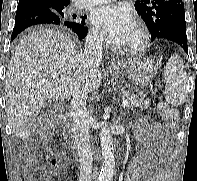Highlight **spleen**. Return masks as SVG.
<instances>
[{"label":"spleen","instance_id":"spleen-1","mask_svg":"<svg viewBox=\"0 0 197 181\" xmlns=\"http://www.w3.org/2000/svg\"><path fill=\"white\" fill-rule=\"evenodd\" d=\"M165 99L172 106H181L187 96V74L181 58L174 54L164 69Z\"/></svg>","mask_w":197,"mask_h":181}]
</instances>
